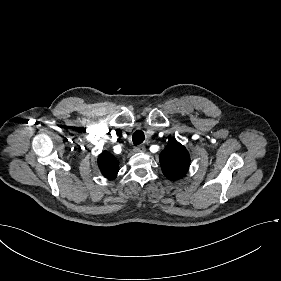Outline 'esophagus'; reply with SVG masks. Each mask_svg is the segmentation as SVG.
<instances>
[{
	"instance_id": "1",
	"label": "esophagus",
	"mask_w": 281,
	"mask_h": 281,
	"mask_svg": "<svg viewBox=\"0 0 281 281\" xmlns=\"http://www.w3.org/2000/svg\"><path fill=\"white\" fill-rule=\"evenodd\" d=\"M146 149H145V146L144 145H139V146H136L134 148V151L135 152H144Z\"/></svg>"
}]
</instances>
